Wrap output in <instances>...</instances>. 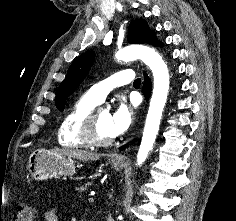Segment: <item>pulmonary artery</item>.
<instances>
[{"label": "pulmonary artery", "instance_id": "e3ab8cb5", "mask_svg": "<svg viewBox=\"0 0 236 221\" xmlns=\"http://www.w3.org/2000/svg\"><path fill=\"white\" fill-rule=\"evenodd\" d=\"M134 79V72L130 69H124L115 72L108 78L94 84L89 88L87 94L96 100L98 103L102 102L106 95L113 89L128 84Z\"/></svg>", "mask_w": 236, "mask_h": 221}]
</instances>
